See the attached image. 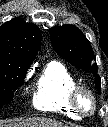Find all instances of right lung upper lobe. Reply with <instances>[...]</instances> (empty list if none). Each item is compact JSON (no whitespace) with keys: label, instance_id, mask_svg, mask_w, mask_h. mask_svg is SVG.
<instances>
[{"label":"right lung upper lobe","instance_id":"cb5924a9","mask_svg":"<svg viewBox=\"0 0 108 127\" xmlns=\"http://www.w3.org/2000/svg\"><path fill=\"white\" fill-rule=\"evenodd\" d=\"M41 45L39 28L15 18L0 27V57L31 65Z\"/></svg>","mask_w":108,"mask_h":127}]
</instances>
